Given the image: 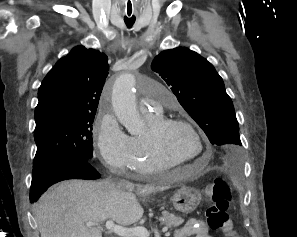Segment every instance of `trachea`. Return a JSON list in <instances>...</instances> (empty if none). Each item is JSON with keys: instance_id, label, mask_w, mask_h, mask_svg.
<instances>
[{"instance_id": "obj_1", "label": "trachea", "mask_w": 297, "mask_h": 237, "mask_svg": "<svg viewBox=\"0 0 297 237\" xmlns=\"http://www.w3.org/2000/svg\"><path fill=\"white\" fill-rule=\"evenodd\" d=\"M134 20H125V24L128 26V27H132L133 24H134Z\"/></svg>"}]
</instances>
